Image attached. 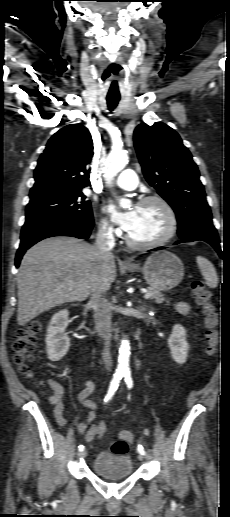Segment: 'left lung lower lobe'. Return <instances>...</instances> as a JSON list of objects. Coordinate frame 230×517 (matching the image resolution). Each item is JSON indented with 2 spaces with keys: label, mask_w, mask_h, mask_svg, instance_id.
<instances>
[{
  "label": "left lung lower lobe",
  "mask_w": 230,
  "mask_h": 517,
  "mask_svg": "<svg viewBox=\"0 0 230 517\" xmlns=\"http://www.w3.org/2000/svg\"><path fill=\"white\" fill-rule=\"evenodd\" d=\"M198 240L209 243L218 252L219 256L222 257V250L219 245V237H218L217 231L214 226H208L193 236L182 237L181 240L177 241L175 244H179L181 242H193V241H198ZM164 248L165 247H159V248L152 249V251L160 250V249H164Z\"/></svg>",
  "instance_id": "left-lung-lower-lobe-1"
}]
</instances>
